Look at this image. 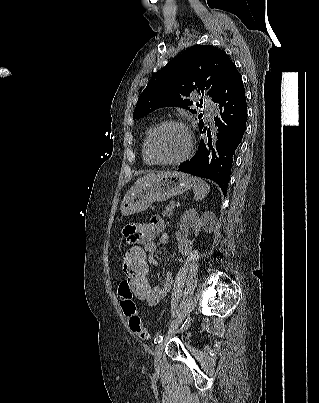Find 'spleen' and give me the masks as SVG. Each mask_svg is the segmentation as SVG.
Returning a JSON list of instances; mask_svg holds the SVG:
<instances>
[{
  "instance_id": "spleen-1",
  "label": "spleen",
  "mask_w": 319,
  "mask_h": 403,
  "mask_svg": "<svg viewBox=\"0 0 319 403\" xmlns=\"http://www.w3.org/2000/svg\"><path fill=\"white\" fill-rule=\"evenodd\" d=\"M192 179L194 181V199L196 201H201L209 193L210 186L200 178L192 177Z\"/></svg>"
}]
</instances>
